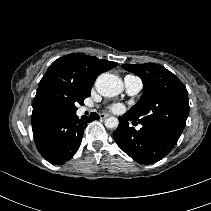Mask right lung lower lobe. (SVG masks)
Instances as JSON below:
<instances>
[{
    "instance_id": "1",
    "label": "right lung lower lobe",
    "mask_w": 211,
    "mask_h": 211,
    "mask_svg": "<svg viewBox=\"0 0 211 211\" xmlns=\"http://www.w3.org/2000/svg\"><path fill=\"white\" fill-rule=\"evenodd\" d=\"M96 119L98 114L92 113L89 121ZM86 123L73 113L32 126L39 153L51 164H64L77 152Z\"/></svg>"
}]
</instances>
